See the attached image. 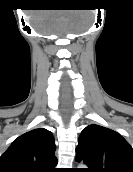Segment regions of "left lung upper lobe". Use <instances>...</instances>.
<instances>
[{"label":"left lung upper lobe","mask_w":133,"mask_h":172,"mask_svg":"<svg viewBox=\"0 0 133 172\" xmlns=\"http://www.w3.org/2000/svg\"><path fill=\"white\" fill-rule=\"evenodd\" d=\"M77 161L88 168L83 172H133V149L117 132L89 125L80 134Z\"/></svg>","instance_id":"left-lung-upper-lobe-1"}]
</instances>
